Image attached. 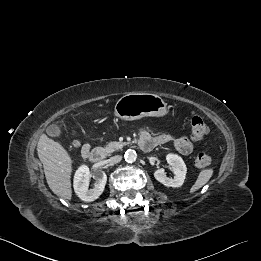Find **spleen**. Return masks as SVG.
<instances>
[{
	"label": "spleen",
	"instance_id": "3e777b00",
	"mask_svg": "<svg viewBox=\"0 0 261 261\" xmlns=\"http://www.w3.org/2000/svg\"><path fill=\"white\" fill-rule=\"evenodd\" d=\"M213 175V170L212 169H205L202 170L199 175L198 178L196 180V182L194 183V185L191 187L190 189V193H194L197 190H199L202 186H204L212 177Z\"/></svg>",
	"mask_w": 261,
	"mask_h": 261
}]
</instances>
